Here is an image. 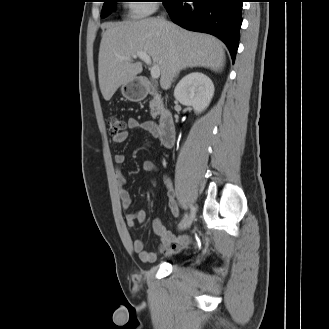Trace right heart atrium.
<instances>
[{
    "label": "right heart atrium",
    "instance_id": "d8ad5b80",
    "mask_svg": "<svg viewBox=\"0 0 329 329\" xmlns=\"http://www.w3.org/2000/svg\"><path fill=\"white\" fill-rule=\"evenodd\" d=\"M129 3V12L133 17L147 16L155 11L154 0H132Z\"/></svg>",
    "mask_w": 329,
    "mask_h": 329
}]
</instances>
